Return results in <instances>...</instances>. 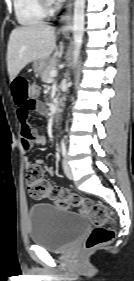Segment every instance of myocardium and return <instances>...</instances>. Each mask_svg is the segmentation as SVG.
Segmentation results:
<instances>
[{
    "mask_svg": "<svg viewBox=\"0 0 134 281\" xmlns=\"http://www.w3.org/2000/svg\"><path fill=\"white\" fill-rule=\"evenodd\" d=\"M46 13H52L55 8L54 0H39Z\"/></svg>",
    "mask_w": 134,
    "mask_h": 281,
    "instance_id": "obj_1",
    "label": "myocardium"
}]
</instances>
